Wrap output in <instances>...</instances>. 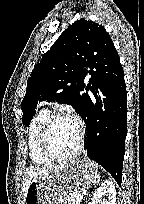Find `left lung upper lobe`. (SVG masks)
<instances>
[{"mask_svg": "<svg viewBox=\"0 0 144 204\" xmlns=\"http://www.w3.org/2000/svg\"><path fill=\"white\" fill-rule=\"evenodd\" d=\"M118 59L112 39L103 26L84 18L75 21L43 55L28 78L21 103L23 124L29 125L41 101L72 105L82 117L86 77L83 66L109 69Z\"/></svg>", "mask_w": 144, "mask_h": 204, "instance_id": "1", "label": "left lung upper lobe"}]
</instances>
